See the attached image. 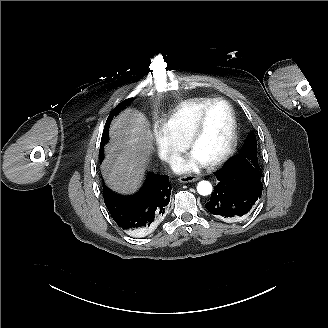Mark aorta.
Here are the masks:
<instances>
[{
  "label": "aorta",
  "instance_id": "aorta-1",
  "mask_svg": "<svg viewBox=\"0 0 328 328\" xmlns=\"http://www.w3.org/2000/svg\"><path fill=\"white\" fill-rule=\"evenodd\" d=\"M197 191L202 196H207L212 193V185L209 181H200L197 184Z\"/></svg>",
  "mask_w": 328,
  "mask_h": 328
}]
</instances>
